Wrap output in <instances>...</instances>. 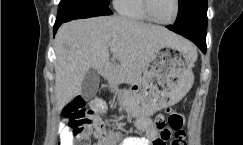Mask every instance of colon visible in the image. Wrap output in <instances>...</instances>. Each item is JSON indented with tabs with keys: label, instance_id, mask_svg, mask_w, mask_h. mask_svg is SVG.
<instances>
[{
	"label": "colon",
	"instance_id": "colon-1",
	"mask_svg": "<svg viewBox=\"0 0 243 145\" xmlns=\"http://www.w3.org/2000/svg\"><path fill=\"white\" fill-rule=\"evenodd\" d=\"M168 117L156 120V129L160 132L161 138H165L170 132L174 131L175 138L172 145H187L186 133L184 130L185 119L180 113L168 109ZM62 115L68 123L71 132L77 136L88 135L93 129V109L87 108L85 101L81 98L74 99L62 110ZM94 128L95 124H94ZM78 145H89L87 140L82 139Z\"/></svg>",
	"mask_w": 243,
	"mask_h": 145
}]
</instances>
